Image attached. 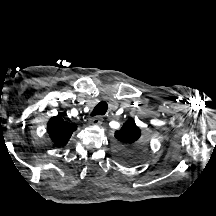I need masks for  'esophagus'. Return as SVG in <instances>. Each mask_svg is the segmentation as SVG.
<instances>
[{
	"mask_svg": "<svg viewBox=\"0 0 216 216\" xmlns=\"http://www.w3.org/2000/svg\"><path fill=\"white\" fill-rule=\"evenodd\" d=\"M103 122V117L101 116H97V117H93L89 120V124L92 125H100Z\"/></svg>",
	"mask_w": 216,
	"mask_h": 216,
	"instance_id": "1",
	"label": "esophagus"
}]
</instances>
